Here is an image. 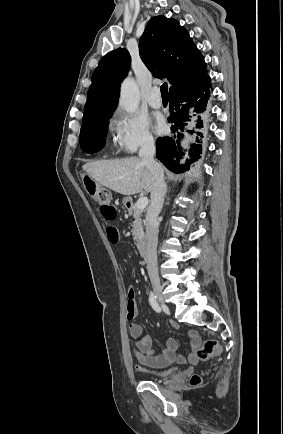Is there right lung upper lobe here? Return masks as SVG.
Returning <instances> with one entry per match:
<instances>
[{
  "label": "right lung upper lobe",
  "instance_id": "cb5924a9",
  "mask_svg": "<svg viewBox=\"0 0 283 434\" xmlns=\"http://www.w3.org/2000/svg\"><path fill=\"white\" fill-rule=\"evenodd\" d=\"M139 53L154 76L167 78L170 92L192 88L207 77V65L201 52L188 31L174 19L151 18L140 38ZM130 65L131 57L125 48L113 50L100 60L92 74L82 127L112 115L117 107L120 83Z\"/></svg>",
  "mask_w": 283,
  "mask_h": 434
}]
</instances>
